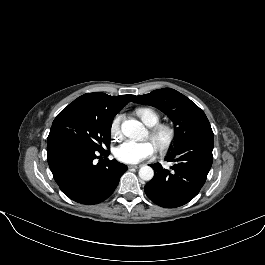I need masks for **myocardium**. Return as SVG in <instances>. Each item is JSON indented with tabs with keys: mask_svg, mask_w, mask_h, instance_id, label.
Here are the masks:
<instances>
[{
	"mask_svg": "<svg viewBox=\"0 0 265 265\" xmlns=\"http://www.w3.org/2000/svg\"><path fill=\"white\" fill-rule=\"evenodd\" d=\"M176 137L175 128L170 124H157L150 128L149 138L160 152L167 151Z\"/></svg>",
	"mask_w": 265,
	"mask_h": 265,
	"instance_id": "myocardium-1",
	"label": "myocardium"
}]
</instances>
